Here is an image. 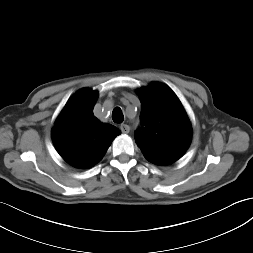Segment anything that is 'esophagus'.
Instances as JSON below:
<instances>
[{"instance_id": "34e87169", "label": "esophagus", "mask_w": 253, "mask_h": 253, "mask_svg": "<svg viewBox=\"0 0 253 253\" xmlns=\"http://www.w3.org/2000/svg\"><path fill=\"white\" fill-rule=\"evenodd\" d=\"M120 130L122 133L127 134L130 131V127L127 124H122L120 126Z\"/></svg>"}]
</instances>
